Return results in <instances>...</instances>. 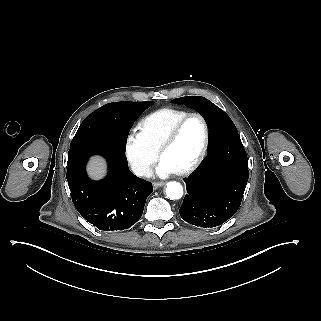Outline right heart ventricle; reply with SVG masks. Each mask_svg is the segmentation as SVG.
Here are the masks:
<instances>
[{
	"instance_id": "1",
	"label": "right heart ventricle",
	"mask_w": 321,
	"mask_h": 321,
	"mask_svg": "<svg viewBox=\"0 0 321 321\" xmlns=\"http://www.w3.org/2000/svg\"><path fill=\"white\" fill-rule=\"evenodd\" d=\"M188 114H190L188 110L181 108H160L142 118L139 128L149 143L156 148L172 125Z\"/></svg>"
}]
</instances>
